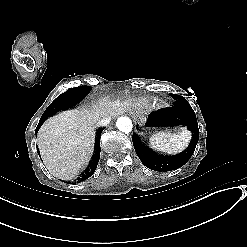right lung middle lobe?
<instances>
[{
	"mask_svg": "<svg viewBox=\"0 0 247 247\" xmlns=\"http://www.w3.org/2000/svg\"><path fill=\"white\" fill-rule=\"evenodd\" d=\"M91 88L88 86H80L70 88L65 93L59 95L45 110L42 116H51L57 111L68 109L78 103L85 97Z\"/></svg>",
	"mask_w": 247,
	"mask_h": 247,
	"instance_id": "right-lung-middle-lobe-1",
	"label": "right lung middle lobe"
}]
</instances>
